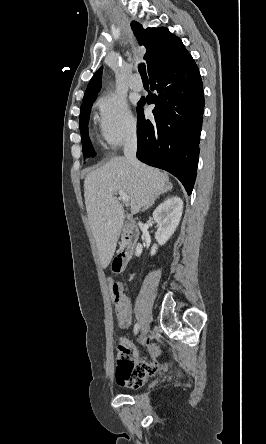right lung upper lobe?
<instances>
[{
	"mask_svg": "<svg viewBox=\"0 0 266 444\" xmlns=\"http://www.w3.org/2000/svg\"><path fill=\"white\" fill-rule=\"evenodd\" d=\"M131 28L139 44L144 45L147 50L144 60L147 62L149 75L190 56L181 39L169 32L167 28L144 29L135 21L131 23ZM102 71L103 67H100L90 80L83 102L95 99L101 88Z\"/></svg>",
	"mask_w": 266,
	"mask_h": 444,
	"instance_id": "1",
	"label": "right lung upper lobe"
}]
</instances>
